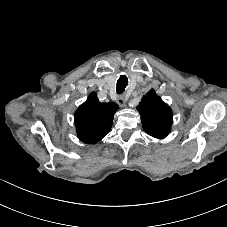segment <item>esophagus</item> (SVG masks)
<instances>
[{
    "instance_id": "obj_1",
    "label": "esophagus",
    "mask_w": 227,
    "mask_h": 227,
    "mask_svg": "<svg viewBox=\"0 0 227 227\" xmlns=\"http://www.w3.org/2000/svg\"><path fill=\"white\" fill-rule=\"evenodd\" d=\"M116 101L120 107H124L126 104V99L123 96H119Z\"/></svg>"
}]
</instances>
